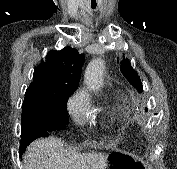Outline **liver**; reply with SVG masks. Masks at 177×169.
I'll use <instances>...</instances> for the list:
<instances>
[{
    "instance_id": "liver-1",
    "label": "liver",
    "mask_w": 177,
    "mask_h": 169,
    "mask_svg": "<svg viewBox=\"0 0 177 169\" xmlns=\"http://www.w3.org/2000/svg\"><path fill=\"white\" fill-rule=\"evenodd\" d=\"M24 169H108V155L78 153L54 137L38 139L23 155Z\"/></svg>"
}]
</instances>
